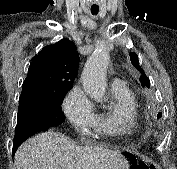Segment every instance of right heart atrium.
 <instances>
[{"mask_svg":"<svg viewBox=\"0 0 177 169\" xmlns=\"http://www.w3.org/2000/svg\"><path fill=\"white\" fill-rule=\"evenodd\" d=\"M63 110L78 132H85L94 125L96 117L94 104L79 87L72 88L67 94Z\"/></svg>","mask_w":177,"mask_h":169,"instance_id":"obj_1","label":"right heart atrium"}]
</instances>
